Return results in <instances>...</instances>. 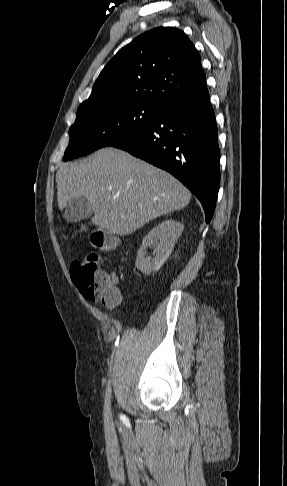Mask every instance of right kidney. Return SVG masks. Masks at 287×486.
<instances>
[{
  "mask_svg": "<svg viewBox=\"0 0 287 486\" xmlns=\"http://www.w3.org/2000/svg\"><path fill=\"white\" fill-rule=\"evenodd\" d=\"M183 229V224L174 220H165L153 228L142 240L135 267L144 274L158 271L171 254ZM149 247L154 249L152 258L147 255Z\"/></svg>",
  "mask_w": 287,
  "mask_h": 486,
  "instance_id": "right-kidney-1",
  "label": "right kidney"
}]
</instances>
